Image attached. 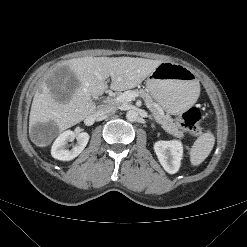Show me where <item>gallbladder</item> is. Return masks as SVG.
Wrapping results in <instances>:
<instances>
[{
    "label": "gallbladder",
    "mask_w": 247,
    "mask_h": 247,
    "mask_svg": "<svg viewBox=\"0 0 247 247\" xmlns=\"http://www.w3.org/2000/svg\"><path fill=\"white\" fill-rule=\"evenodd\" d=\"M78 84L76 76L68 67L57 68L47 79L53 97L60 102L69 100Z\"/></svg>",
    "instance_id": "gallbladder-1"
}]
</instances>
